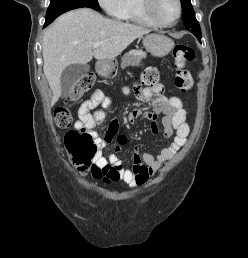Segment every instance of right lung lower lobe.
Returning <instances> with one entry per match:
<instances>
[{
    "instance_id": "1",
    "label": "right lung lower lobe",
    "mask_w": 248,
    "mask_h": 258,
    "mask_svg": "<svg viewBox=\"0 0 248 258\" xmlns=\"http://www.w3.org/2000/svg\"><path fill=\"white\" fill-rule=\"evenodd\" d=\"M53 20H54V19H52V20H47V21L45 22V24H44V27L48 26Z\"/></svg>"
}]
</instances>
